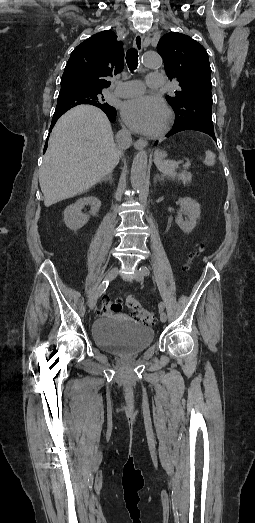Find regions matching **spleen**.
Here are the masks:
<instances>
[{
	"mask_svg": "<svg viewBox=\"0 0 255 523\" xmlns=\"http://www.w3.org/2000/svg\"><path fill=\"white\" fill-rule=\"evenodd\" d=\"M158 170L165 174V176H175V168H178L179 162H174V160H161V158H155L154 160ZM205 166H214L215 164V154L207 150L205 152Z\"/></svg>",
	"mask_w": 255,
	"mask_h": 523,
	"instance_id": "spleen-1",
	"label": "spleen"
}]
</instances>
